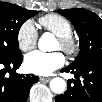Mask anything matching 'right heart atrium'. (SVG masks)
Segmentation results:
<instances>
[{
    "mask_svg": "<svg viewBox=\"0 0 102 102\" xmlns=\"http://www.w3.org/2000/svg\"><path fill=\"white\" fill-rule=\"evenodd\" d=\"M17 42L21 50L29 51L36 46L38 32L34 22L30 19L24 21L17 31Z\"/></svg>",
    "mask_w": 102,
    "mask_h": 102,
    "instance_id": "obj_1",
    "label": "right heart atrium"
}]
</instances>
